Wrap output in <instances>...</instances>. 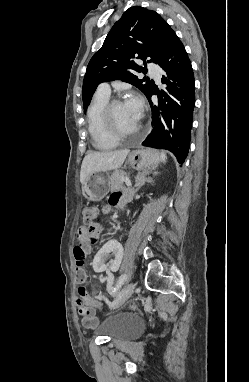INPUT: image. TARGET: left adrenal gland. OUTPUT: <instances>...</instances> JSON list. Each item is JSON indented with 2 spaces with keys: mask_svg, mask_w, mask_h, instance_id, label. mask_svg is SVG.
<instances>
[{
  "mask_svg": "<svg viewBox=\"0 0 249 382\" xmlns=\"http://www.w3.org/2000/svg\"><path fill=\"white\" fill-rule=\"evenodd\" d=\"M157 174H159V172H157V171L153 172L154 176ZM145 176H146V174L142 173L136 177V185H135V187H136L135 191L136 192L145 184V182H153L152 178H150V177L146 178Z\"/></svg>",
  "mask_w": 249,
  "mask_h": 382,
  "instance_id": "obj_1",
  "label": "left adrenal gland"
}]
</instances>
